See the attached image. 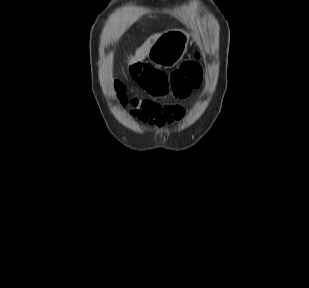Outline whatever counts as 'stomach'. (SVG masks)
Listing matches in <instances>:
<instances>
[{
	"instance_id": "stomach-1",
	"label": "stomach",
	"mask_w": 309,
	"mask_h": 288,
	"mask_svg": "<svg viewBox=\"0 0 309 288\" xmlns=\"http://www.w3.org/2000/svg\"><path fill=\"white\" fill-rule=\"evenodd\" d=\"M189 38V34L182 29L162 33L151 46L148 60L163 68L175 66L183 58Z\"/></svg>"
}]
</instances>
